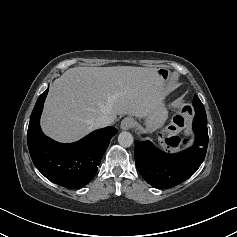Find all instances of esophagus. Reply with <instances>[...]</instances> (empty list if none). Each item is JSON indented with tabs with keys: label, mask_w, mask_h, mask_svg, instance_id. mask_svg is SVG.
<instances>
[{
	"label": "esophagus",
	"mask_w": 237,
	"mask_h": 237,
	"mask_svg": "<svg viewBox=\"0 0 237 237\" xmlns=\"http://www.w3.org/2000/svg\"><path fill=\"white\" fill-rule=\"evenodd\" d=\"M134 124V119L131 117H126L121 121L120 128L122 130L130 129Z\"/></svg>",
	"instance_id": "1"
}]
</instances>
